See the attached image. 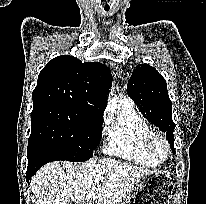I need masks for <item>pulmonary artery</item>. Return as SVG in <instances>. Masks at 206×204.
I'll return each instance as SVG.
<instances>
[{
	"instance_id": "e3ab8cb5",
	"label": "pulmonary artery",
	"mask_w": 206,
	"mask_h": 204,
	"mask_svg": "<svg viewBox=\"0 0 206 204\" xmlns=\"http://www.w3.org/2000/svg\"><path fill=\"white\" fill-rule=\"evenodd\" d=\"M123 100L131 102V100L128 97H124Z\"/></svg>"
}]
</instances>
